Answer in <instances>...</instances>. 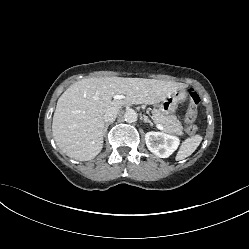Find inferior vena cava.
Here are the masks:
<instances>
[{
	"mask_svg": "<svg viewBox=\"0 0 249 249\" xmlns=\"http://www.w3.org/2000/svg\"><path fill=\"white\" fill-rule=\"evenodd\" d=\"M119 108H110L106 111L104 115V120L106 122H113L115 121L117 114H118Z\"/></svg>",
	"mask_w": 249,
	"mask_h": 249,
	"instance_id": "inferior-vena-cava-1",
	"label": "inferior vena cava"
}]
</instances>
